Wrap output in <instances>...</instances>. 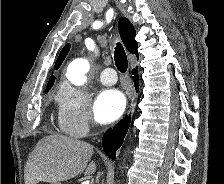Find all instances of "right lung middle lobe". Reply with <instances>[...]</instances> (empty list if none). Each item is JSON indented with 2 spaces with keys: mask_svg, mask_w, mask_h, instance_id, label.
Wrapping results in <instances>:
<instances>
[{
  "mask_svg": "<svg viewBox=\"0 0 224 184\" xmlns=\"http://www.w3.org/2000/svg\"><path fill=\"white\" fill-rule=\"evenodd\" d=\"M50 89V88H49ZM49 89H46V93L48 92Z\"/></svg>",
  "mask_w": 224,
  "mask_h": 184,
  "instance_id": "1",
  "label": "right lung middle lobe"
}]
</instances>
